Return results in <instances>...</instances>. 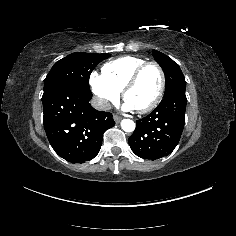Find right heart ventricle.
<instances>
[{
  "label": "right heart ventricle",
  "instance_id": "right-heart-ventricle-1",
  "mask_svg": "<svg viewBox=\"0 0 236 236\" xmlns=\"http://www.w3.org/2000/svg\"><path fill=\"white\" fill-rule=\"evenodd\" d=\"M145 62L147 61L141 57L122 56L105 63L101 75L114 90L120 93L134 70Z\"/></svg>",
  "mask_w": 236,
  "mask_h": 236
}]
</instances>
